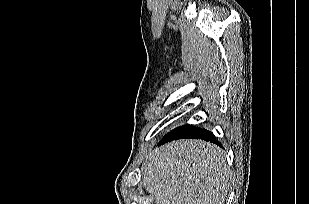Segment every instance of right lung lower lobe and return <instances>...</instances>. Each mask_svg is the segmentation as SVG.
Instances as JSON below:
<instances>
[{
	"mask_svg": "<svg viewBox=\"0 0 309 204\" xmlns=\"http://www.w3.org/2000/svg\"><path fill=\"white\" fill-rule=\"evenodd\" d=\"M182 138H196V139H203L205 141H210L221 145L217 140L213 133L205 130L192 127L190 125H185L182 127H178L168 134H166L158 145H162L164 143L170 142L172 140L182 139Z\"/></svg>",
	"mask_w": 309,
	"mask_h": 204,
	"instance_id": "98d812e1",
	"label": "right lung lower lobe"
}]
</instances>
